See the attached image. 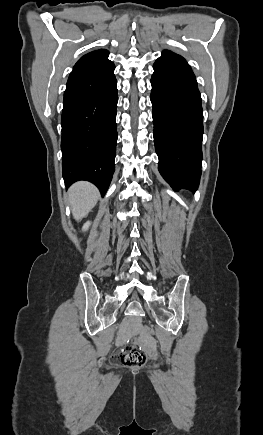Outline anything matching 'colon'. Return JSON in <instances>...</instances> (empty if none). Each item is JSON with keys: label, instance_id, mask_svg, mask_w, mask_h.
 <instances>
[{"label": "colon", "instance_id": "5ec220e1", "mask_svg": "<svg viewBox=\"0 0 263 435\" xmlns=\"http://www.w3.org/2000/svg\"><path fill=\"white\" fill-rule=\"evenodd\" d=\"M150 335H154L155 331L149 327L148 324H143L141 326ZM112 362L116 365L126 366V367H139L142 366L146 361V354L144 351L136 345L134 341L128 342L127 344L116 349L112 354Z\"/></svg>", "mask_w": 263, "mask_h": 435}]
</instances>
